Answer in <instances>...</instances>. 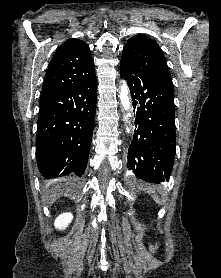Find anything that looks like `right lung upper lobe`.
<instances>
[{"instance_id": "obj_1", "label": "right lung upper lobe", "mask_w": 221, "mask_h": 278, "mask_svg": "<svg viewBox=\"0 0 221 278\" xmlns=\"http://www.w3.org/2000/svg\"><path fill=\"white\" fill-rule=\"evenodd\" d=\"M94 61L88 45L76 38L63 43L49 65L42 94L76 85L94 76Z\"/></svg>"}]
</instances>
